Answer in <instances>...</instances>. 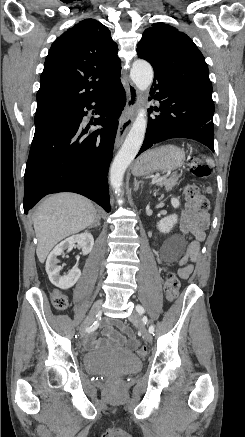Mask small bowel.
Instances as JSON below:
<instances>
[{
    "mask_svg": "<svg viewBox=\"0 0 245 437\" xmlns=\"http://www.w3.org/2000/svg\"><path fill=\"white\" fill-rule=\"evenodd\" d=\"M209 223V214L198 211L192 203H187L181 211L180 229L190 238L186 253L180 260L181 267L178 270V273L182 278H186L190 275L192 271L190 263L195 262L198 259L200 243L205 239V231L208 228ZM158 262L166 271L167 268L164 266L160 258H158ZM104 329L106 335L114 342L122 344L129 349H134L139 344L137 338L128 328L125 329L127 337L122 336L119 332L114 330L107 321L104 322ZM97 343L98 341L93 334H91L86 341L88 347H92Z\"/></svg>",
    "mask_w": 245,
    "mask_h": 437,
    "instance_id": "small-bowel-1",
    "label": "small bowel"
}]
</instances>
